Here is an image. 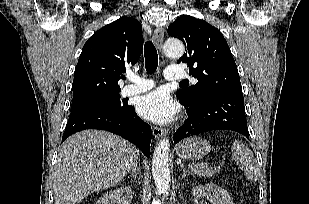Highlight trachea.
<instances>
[{
	"label": "trachea",
	"mask_w": 309,
	"mask_h": 204,
	"mask_svg": "<svg viewBox=\"0 0 309 204\" xmlns=\"http://www.w3.org/2000/svg\"><path fill=\"white\" fill-rule=\"evenodd\" d=\"M144 56L146 63V71L151 74L157 70L158 67V54L154 44L151 41H147L144 46ZM181 84L188 83V81H182Z\"/></svg>",
	"instance_id": "obj_1"
}]
</instances>
